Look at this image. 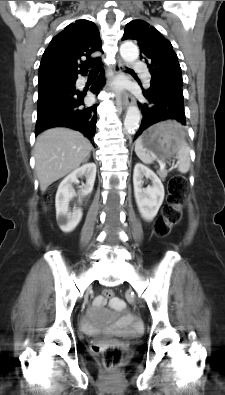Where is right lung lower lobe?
Segmentation results:
<instances>
[{"label":"right lung lower lobe","instance_id":"obj_1","mask_svg":"<svg viewBox=\"0 0 225 395\" xmlns=\"http://www.w3.org/2000/svg\"><path fill=\"white\" fill-rule=\"evenodd\" d=\"M101 74L97 82L90 88L98 94L104 85V70L99 63ZM75 80L68 85L56 87L38 97L37 122L35 135L51 127H69L78 130L92 139L96 132L97 105H84V92L75 89Z\"/></svg>","mask_w":225,"mask_h":395}]
</instances>
